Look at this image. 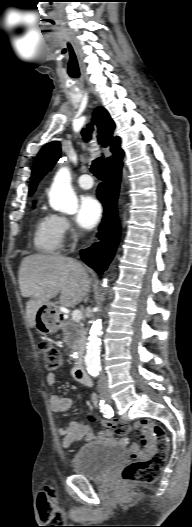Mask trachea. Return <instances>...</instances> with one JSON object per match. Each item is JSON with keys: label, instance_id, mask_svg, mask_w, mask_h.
<instances>
[{"label": "trachea", "instance_id": "3493384b", "mask_svg": "<svg viewBox=\"0 0 192 527\" xmlns=\"http://www.w3.org/2000/svg\"><path fill=\"white\" fill-rule=\"evenodd\" d=\"M103 157H99L92 162L91 172L98 179H102Z\"/></svg>", "mask_w": 192, "mask_h": 527}]
</instances>
